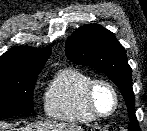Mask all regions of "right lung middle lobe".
Masks as SVG:
<instances>
[{
    "instance_id": "obj_1",
    "label": "right lung middle lobe",
    "mask_w": 147,
    "mask_h": 131,
    "mask_svg": "<svg viewBox=\"0 0 147 131\" xmlns=\"http://www.w3.org/2000/svg\"><path fill=\"white\" fill-rule=\"evenodd\" d=\"M39 73L0 72V118L33 111V88Z\"/></svg>"
}]
</instances>
